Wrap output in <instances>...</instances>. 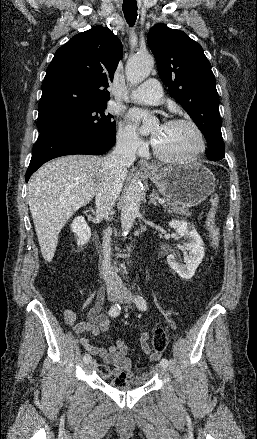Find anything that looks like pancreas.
Wrapping results in <instances>:
<instances>
[{"label":"pancreas","mask_w":257,"mask_h":439,"mask_svg":"<svg viewBox=\"0 0 257 439\" xmlns=\"http://www.w3.org/2000/svg\"><path fill=\"white\" fill-rule=\"evenodd\" d=\"M163 208L168 211V213H176L181 216L189 217L192 213L188 210L187 207L181 206L176 202L168 200V202L163 205Z\"/></svg>","instance_id":"cf45deb5"}]
</instances>
